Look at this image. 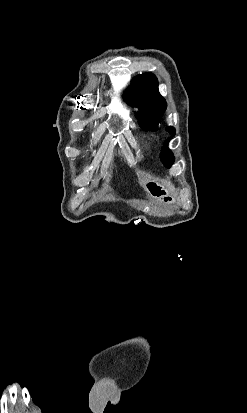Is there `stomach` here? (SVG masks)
<instances>
[{"label": "stomach", "instance_id": "stomach-1", "mask_svg": "<svg viewBox=\"0 0 247 413\" xmlns=\"http://www.w3.org/2000/svg\"><path fill=\"white\" fill-rule=\"evenodd\" d=\"M144 190H146L149 196L156 198L158 202H163V204H175V196L172 194L171 186L161 184L158 180H147L144 184Z\"/></svg>", "mask_w": 247, "mask_h": 413}]
</instances>
